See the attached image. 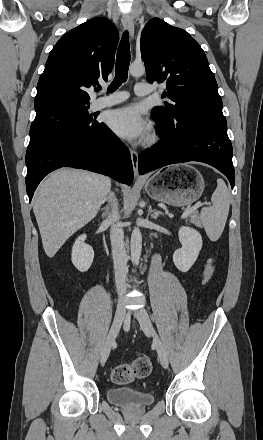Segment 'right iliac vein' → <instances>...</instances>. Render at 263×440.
Instances as JSON below:
<instances>
[{"label":"right iliac vein","mask_w":263,"mask_h":440,"mask_svg":"<svg viewBox=\"0 0 263 440\" xmlns=\"http://www.w3.org/2000/svg\"><path fill=\"white\" fill-rule=\"evenodd\" d=\"M125 315H126V311H125L124 303L120 302L115 312L113 325L110 329V332L107 336L106 342L101 352V358H100L101 365H104L109 357L110 351L115 343V339L121 328Z\"/></svg>","instance_id":"63e3f726"}]
</instances>
